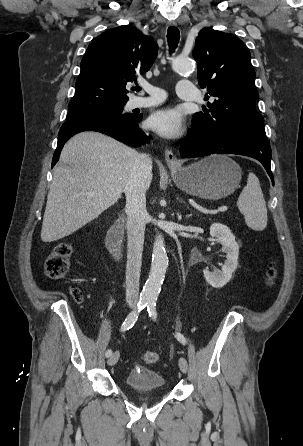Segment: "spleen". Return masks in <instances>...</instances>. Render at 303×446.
Returning a JSON list of instances; mask_svg holds the SVG:
<instances>
[{"label":"spleen","instance_id":"1","mask_svg":"<svg viewBox=\"0 0 303 446\" xmlns=\"http://www.w3.org/2000/svg\"><path fill=\"white\" fill-rule=\"evenodd\" d=\"M237 206L244 215L245 223L253 230H264L267 226V208L259 179L249 173L247 185L243 188Z\"/></svg>","mask_w":303,"mask_h":446}]
</instances>
